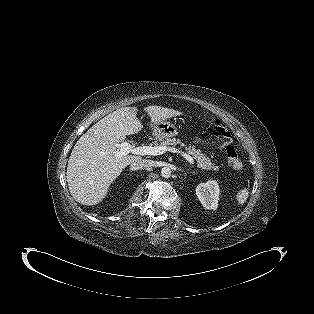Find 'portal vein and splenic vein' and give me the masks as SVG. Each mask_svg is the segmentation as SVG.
Returning a JSON list of instances; mask_svg holds the SVG:
<instances>
[{
	"instance_id": "18ae733b",
	"label": "portal vein and splenic vein",
	"mask_w": 314,
	"mask_h": 314,
	"mask_svg": "<svg viewBox=\"0 0 314 314\" xmlns=\"http://www.w3.org/2000/svg\"><path fill=\"white\" fill-rule=\"evenodd\" d=\"M116 148H118V152L116 153V155L118 157H122V156H126L129 153L131 154H136V155H161L167 151L170 152H177L175 150V148H169L163 145L160 146H132L130 143L128 142H122L119 144H116ZM182 156L190 163V164H194V160L191 156H189L186 153H183Z\"/></svg>"
}]
</instances>
